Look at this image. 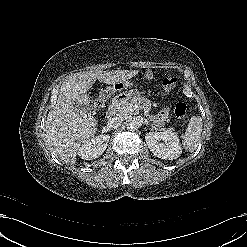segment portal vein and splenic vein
<instances>
[{
  "mask_svg": "<svg viewBox=\"0 0 247 247\" xmlns=\"http://www.w3.org/2000/svg\"><path fill=\"white\" fill-rule=\"evenodd\" d=\"M138 108H139L138 105H128V106L126 107V110H127V112L132 113V112H134L135 110H137Z\"/></svg>",
  "mask_w": 247,
  "mask_h": 247,
  "instance_id": "obj_1",
  "label": "portal vein and splenic vein"
}]
</instances>
